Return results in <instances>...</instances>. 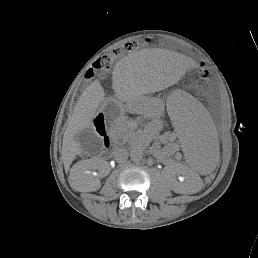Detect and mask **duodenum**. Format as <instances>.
<instances>
[{
    "mask_svg": "<svg viewBox=\"0 0 258 258\" xmlns=\"http://www.w3.org/2000/svg\"><path fill=\"white\" fill-rule=\"evenodd\" d=\"M100 130L103 131L102 137H103L104 140H105V145L108 146V143H109V141H110V137H109L108 133L104 130V125H103V124L100 126Z\"/></svg>",
    "mask_w": 258,
    "mask_h": 258,
    "instance_id": "duodenum-1",
    "label": "duodenum"
}]
</instances>
